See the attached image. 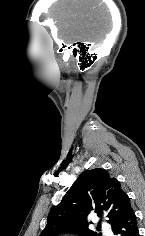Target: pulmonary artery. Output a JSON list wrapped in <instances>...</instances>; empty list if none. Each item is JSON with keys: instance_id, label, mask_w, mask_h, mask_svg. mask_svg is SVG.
Instances as JSON below:
<instances>
[{"instance_id": "pulmonary-artery-1", "label": "pulmonary artery", "mask_w": 145, "mask_h": 236, "mask_svg": "<svg viewBox=\"0 0 145 236\" xmlns=\"http://www.w3.org/2000/svg\"><path fill=\"white\" fill-rule=\"evenodd\" d=\"M103 232L107 235V236H111L112 232H111V228L108 226H103Z\"/></svg>"}]
</instances>
